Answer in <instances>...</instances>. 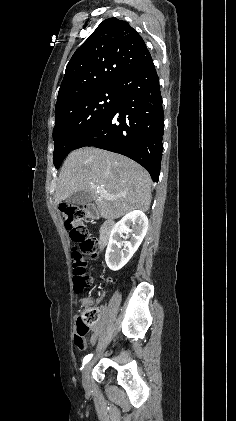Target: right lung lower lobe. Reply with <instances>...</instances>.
<instances>
[{
    "label": "right lung lower lobe",
    "instance_id": "98d812e1",
    "mask_svg": "<svg viewBox=\"0 0 236 421\" xmlns=\"http://www.w3.org/2000/svg\"><path fill=\"white\" fill-rule=\"evenodd\" d=\"M116 87L118 100L113 110L74 150L94 146L125 155L142 165L157 182L163 151L164 113L152 58L124 75Z\"/></svg>",
    "mask_w": 236,
    "mask_h": 421
}]
</instances>
